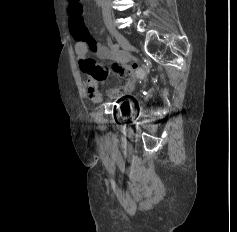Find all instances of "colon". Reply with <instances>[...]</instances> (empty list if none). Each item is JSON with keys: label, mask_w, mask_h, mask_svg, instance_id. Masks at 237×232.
Instances as JSON below:
<instances>
[{"label": "colon", "mask_w": 237, "mask_h": 232, "mask_svg": "<svg viewBox=\"0 0 237 232\" xmlns=\"http://www.w3.org/2000/svg\"><path fill=\"white\" fill-rule=\"evenodd\" d=\"M82 15L83 6L80 0H69L70 27L74 32L78 34H82L86 31V26ZM132 69L135 70L138 75L144 74L136 63L132 64Z\"/></svg>", "instance_id": "1"}]
</instances>
